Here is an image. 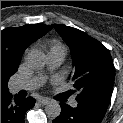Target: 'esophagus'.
Masks as SVG:
<instances>
[{
	"instance_id": "1",
	"label": "esophagus",
	"mask_w": 123,
	"mask_h": 123,
	"mask_svg": "<svg viewBox=\"0 0 123 123\" xmlns=\"http://www.w3.org/2000/svg\"><path fill=\"white\" fill-rule=\"evenodd\" d=\"M39 103L43 104V105H46L50 102V100L48 98H40L38 100Z\"/></svg>"
}]
</instances>
